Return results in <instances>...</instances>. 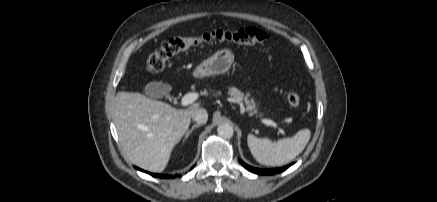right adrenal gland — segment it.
<instances>
[{"mask_svg":"<svg viewBox=\"0 0 437 202\" xmlns=\"http://www.w3.org/2000/svg\"><path fill=\"white\" fill-rule=\"evenodd\" d=\"M200 126H201L200 124H195V125H193L192 128H191V129L186 133V135H185L183 141L187 140V138L190 136V134L192 133V131H193L195 128L200 127Z\"/></svg>","mask_w":437,"mask_h":202,"instance_id":"1","label":"right adrenal gland"}]
</instances>
